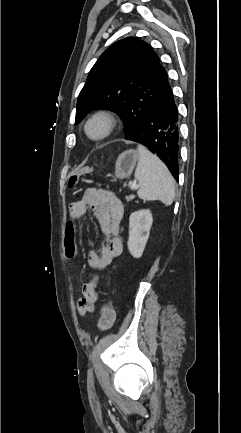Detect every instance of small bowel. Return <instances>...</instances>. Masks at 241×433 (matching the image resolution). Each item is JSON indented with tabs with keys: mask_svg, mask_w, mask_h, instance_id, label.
<instances>
[{
	"mask_svg": "<svg viewBox=\"0 0 241 433\" xmlns=\"http://www.w3.org/2000/svg\"><path fill=\"white\" fill-rule=\"evenodd\" d=\"M87 207L92 210L103 234L106 236V243L100 252H89L88 264L93 269L104 270L123 253L120 222L124 215V207L121 200L113 192L89 188L81 200L71 205L70 217L79 218ZM73 252H76V249ZM99 294L96 284L93 285L91 281L83 285L82 297L77 302V311L81 316L93 310Z\"/></svg>",
	"mask_w": 241,
	"mask_h": 433,
	"instance_id": "c3829d8e",
	"label": "small bowel"
}]
</instances>
